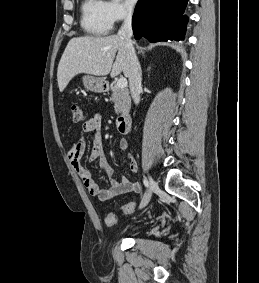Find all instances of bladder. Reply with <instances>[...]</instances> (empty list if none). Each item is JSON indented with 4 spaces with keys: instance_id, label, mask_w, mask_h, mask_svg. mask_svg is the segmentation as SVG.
<instances>
[{
    "instance_id": "1",
    "label": "bladder",
    "mask_w": 259,
    "mask_h": 283,
    "mask_svg": "<svg viewBox=\"0 0 259 283\" xmlns=\"http://www.w3.org/2000/svg\"><path fill=\"white\" fill-rule=\"evenodd\" d=\"M136 229H137V228H136V227H134V228H131V229H130V231H134V230H136Z\"/></svg>"
}]
</instances>
